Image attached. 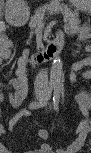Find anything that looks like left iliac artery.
Segmentation results:
<instances>
[{
    "label": "left iliac artery",
    "instance_id": "left-iliac-artery-1",
    "mask_svg": "<svg viewBox=\"0 0 91 153\" xmlns=\"http://www.w3.org/2000/svg\"><path fill=\"white\" fill-rule=\"evenodd\" d=\"M59 98H60L59 88L56 87L54 96H53V107L56 111L59 110Z\"/></svg>",
    "mask_w": 91,
    "mask_h": 153
}]
</instances>
